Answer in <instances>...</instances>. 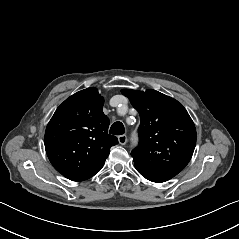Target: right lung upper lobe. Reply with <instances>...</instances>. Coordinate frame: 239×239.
<instances>
[{"mask_svg":"<svg viewBox=\"0 0 239 239\" xmlns=\"http://www.w3.org/2000/svg\"><path fill=\"white\" fill-rule=\"evenodd\" d=\"M103 97L94 87L66 99L45 132V149L53 167L72 181H84L103 167L110 148L118 143L108 134Z\"/></svg>","mask_w":239,"mask_h":239,"instance_id":"cb5924a9","label":"right lung upper lobe"}]
</instances>
